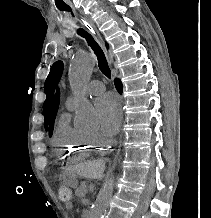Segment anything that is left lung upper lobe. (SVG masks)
<instances>
[{"mask_svg": "<svg viewBox=\"0 0 211 218\" xmlns=\"http://www.w3.org/2000/svg\"><path fill=\"white\" fill-rule=\"evenodd\" d=\"M63 71V63L61 61L55 62L50 70V73L45 81V93L47 95V98L44 102V126L47 129L48 123L51 118V111H52V99H53V92L56 84L58 83Z\"/></svg>", "mask_w": 211, "mask_h": 218, "instance_id": "5c2ea615", "label": "left lung upper lobe"}]
</instances>
